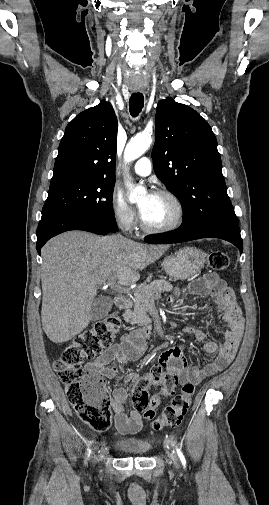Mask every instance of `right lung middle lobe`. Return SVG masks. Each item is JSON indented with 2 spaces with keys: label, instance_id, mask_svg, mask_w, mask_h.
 Segmentation results:
<instances>
[{
  "label": "right lung middle lobe",
  "instance_id": "obj_1",
  "mask_svg": "<svg viewBox=\"0 0 269 505\" xmlns=\"http://www.w3.org/2000/svg\"><path fill=\"white\" fill-rule=\"evenodd\" d=\"M115 181H81L52 187L42 209V218L68 214L85 218L116 232L112 210Z\"/></svg>",
  "mask_w": 269,
  "mask_h": 505
}]
</instances>
